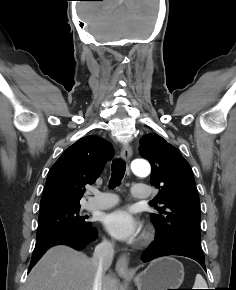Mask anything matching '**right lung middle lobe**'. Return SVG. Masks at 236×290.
Wrapping results in <instances>:
<instances>
[{"mask_svg": "<svg viewBox=\"0 0 236 290\" xmlns=\"http://www.w3.org/2000/svg\"><path fill=\"white\" fill-rule=\"evenodd\" d=\"M80 205L54 207L40 210L37 237L60 230L86 227L90 222L79 215Z\"/></svg>", "mask_w": 236, "mask_h": 290, "instance_id": "1", "label": "right lung middle lobe"}]
</instances>
